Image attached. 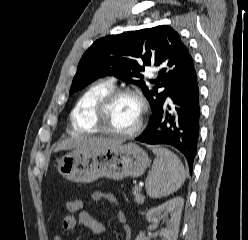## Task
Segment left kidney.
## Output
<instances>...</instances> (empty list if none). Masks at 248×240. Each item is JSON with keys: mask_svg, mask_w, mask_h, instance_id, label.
Instances as JSON below:
<instances>
[{"mask_svg": "<svg viewBox=\"0 0 248 240\" xmlns=\"http://www.w3.org/2000/svg\"><path fill=\"white\" fill-rule=\"evenodd\" d=\"M183 206L184 199L175 197L158 207L151 208L147 212L146 219L151 223H155L158 219L170 215L166 228L160 231L161 240H177ZM136 240H147L145 233L141 232Z\"/></svg>", "mask_w": 248, "mask_h": 240, "instance_id": "obj_1", "label": "left kidney"}]
</instances>
